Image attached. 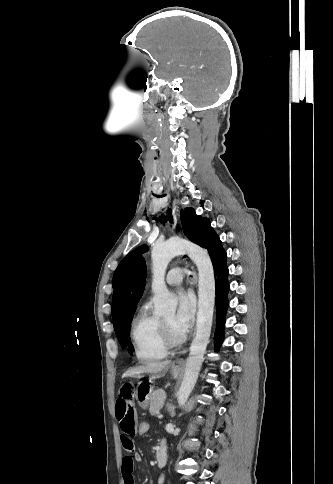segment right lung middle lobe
Instances as JSON below:
<instances>
[{
    "instance_id": "obj_1",
    "label": "right lung middle lobe",
    "mask_w": 333,
    "mask_h": 484,
    "mask_svg": "<svg viewBox=\"0 0 333 484\" xmlns=\"http://www.w3.org/2000/svg\"><path fill=\"white\" fill-rule=\"evenodd\" d=\"M132 316L133 315L125 319V321L123 322V324L121 325V327L118 329L116 333L118 340L123 349L128 347L130 344L129 331H130V322H131ZM129 352L132 353V345L129 347Z\"/></svg>"
}]
</instances>
